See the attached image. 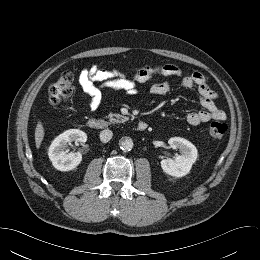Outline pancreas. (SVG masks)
<instances>
[{"mask_svg":"<svg viewBox=\"0 0 260 260\" xmlns=\"http://www.w3.org/2000/svg\"><path fill=\"white\" fill-rule=\"evenodd\" d=\"M107 118L109 119L110 123H124L126 121L129 120V117L127 116H123L120 114H114V113H110Z\"/></svg>","mask_w":260,"mask_h":260,"instance_id":"pancreas-1","label":"pancreas"}]
</instances>
